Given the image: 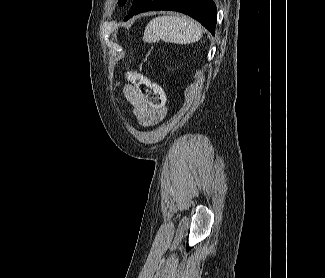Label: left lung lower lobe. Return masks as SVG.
<instances>
[{
	"instance_id": "obj_1",
	"label": "left lung lower lobe",
	"mask_w": 325,
	"mask_h": 278,
	"mask_svg": "<svg viewBox=\"0 0 325 278\" xmlns=\"http://www.w3.org/2000/svg\"><path fill=\"white\" fill-rule=\"evenodd\" d=\"M151 10H172L187 14L215 34L217 9L213 0H133L131 10L124 20Z\"/></svg>"
}]
</instances>
